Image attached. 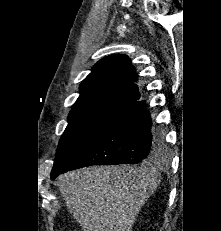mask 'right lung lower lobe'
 <instances>
[{"instance_id": "right-lung-lower-lobe-1", "label": "right lung lower lobe", "mask_w": 221, "mask_h": 231, "mask_svg": "<svg viewBox=\"0 0 221 231\" xmlns=\"http://www.w3.org/2000/svg\"><path fill=\"white\" fill-rule=\"evenodd\" d=\"M163 143L162 135L152 127L145 102L136 100L115 114L67 164L52 170L51 178L91 165L151 161L160 156Z\"/></svg>"}]
</instances>
